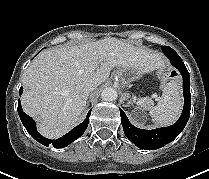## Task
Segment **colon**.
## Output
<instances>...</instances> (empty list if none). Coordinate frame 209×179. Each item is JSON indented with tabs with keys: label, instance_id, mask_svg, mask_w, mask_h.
Masks as SVG:
<instances>
[{
	"label": "colon",
	"instance_id": "5ec220e1",
	"mask_svg": "<svg viewBox=\"0 0 209 179\" xmlns=\"http://www.w3.org/2000/svg\"><path fill=\"white\" fill-rule=\"evenodd\" d=\"M172 76H173V73L170 74V77H172Z\"/></svg>",
	"mask_w": 209,
	"mask_h": 179
}]
</instances>
